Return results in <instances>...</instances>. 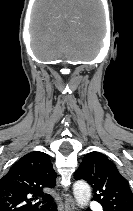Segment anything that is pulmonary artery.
Returning <instances> with one entry per match:
<instances>
[{"label":"pulmonary artery","mask_w":133,"mask_h":211,"mask_svg":"<svg viewBox=\"0 0 133 211\" xmlns=\"http://www.w3.org/2000/svg\"><path fill=\"white\" fill-rule=\"evenodd\" d=\"M93 211H102L101 206L98 203H91Z\"/></svg>","instance_id":"obj_1"}]
</instances>
